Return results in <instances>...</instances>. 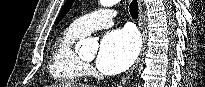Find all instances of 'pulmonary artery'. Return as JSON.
<instances>
[{"label": "pulmonary artery", "instance_id": "obj_1", "mask_svg": "<svg viewBox=\"0 0 205 87\" xmlns=\"http://www.w3.org/2000/svg\"><path fill=\"white\" fill-rule=\"evenodd\" d=\"M115 11L111 9H101L88 13L72 23V27L80 33L87 35L97 29L108 28L113 25Z\"/></svg>", "mask_w": 205, "mask_h": 87}]
</instances>
